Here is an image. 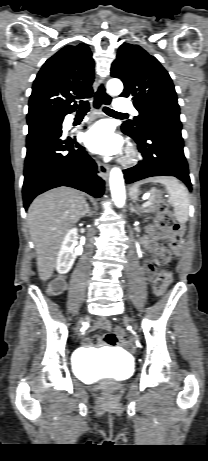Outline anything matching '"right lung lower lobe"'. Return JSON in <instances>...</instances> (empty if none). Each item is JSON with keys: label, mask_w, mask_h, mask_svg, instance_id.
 Masks as SVG:
<instances>
[{"label": "right lung lower lobe", "mask_w": 208, "mask_h": 461, "mask_svg": "<svg viewBox=\"0 0 208 461\" xmlns=\"http://www.w3.org/2000/svg\"><path fill=\"white\" fill-rule=\"evenodd\" d=\"M62 132L61 122L27 135L22 190L25 210L37 195L59 186L73 187L96 198L103 194L104 181L97 175V164L84 147Z\"/></svg>", "instance_id": "right-lung-lower-lobe-1"}]
</instances>
